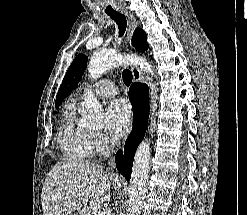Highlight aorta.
Wrapping results in <instances>:
<instances>
[{
  "label": "aorta",
  "mask_w": 247,
  "mask_h": 215,
  "mask_svg": "<svg viewBox=\"0 0 247 215\" xmlns=\"http://www.w3.org/2000/svg\"><path fill=\"white\" fill-rule=\"evenodd\" d=\"M125 63L140 65L146 72L153 75L152 66L142 57L122 56L115 52H95L91 57L88 67L89 78L96 80L112 67ZM86 111L83 115V124L89 128H100L103 125V108L91 92H86ZM150 144L144 139L138 146L132 167L130 179V200L127 215H140L143 201L147 192L149 175Z\"/></svg>",
  "instance_id": "obj_1"
}]
</instances>
